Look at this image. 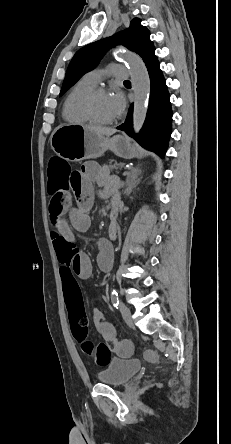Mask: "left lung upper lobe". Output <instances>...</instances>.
Wrapping results in <instances>:
<instances>
[{"mask_svg": "<svg viewBox=\"0 0 231 444\" xmlns=\"http://www.w3.org/2000/svg\"><path fill=\"white\" fill-rule=\"evenodd\" d=\"M135 18L130 28L111 37L90 43L78 50L71 60L63 81L60 96L73 86L85 73L91 71L99 63L104 54L113 46L122 44L136 52L145 62L154 53L155 47L150 40L149 30Z\"/></svg>", "mask_w": 231, "mask_h": 444, "instance_id": "obj_1", "label": "left lung upper lobe"}]
</instances>
